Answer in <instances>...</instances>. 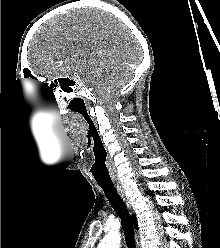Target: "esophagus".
<instances>
[{"label": "esophagus", "mask_w": 220, "mask_h": 248, "mask_svg": "<svg viewBox=\"0 0 220 248\" xmlns=\"http://www.w3.org/2000/svg\"><path fill=\"white\" fill-rule=\"evenodd\" d=\"M116 189H117V192L119 193V195L121 196V198L123 199V201L126 203V205L128 207H130V202H129V200H128L125 192H124L122 185L117 183ZM137 248H140L138 243H137Z\"/></svg>", "instance_id": "34e87169"}]
</instances>
